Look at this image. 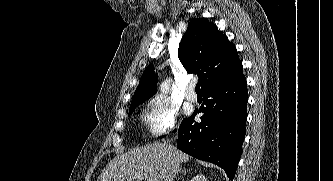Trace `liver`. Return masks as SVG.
<instances>
[{"label":"liver","mask_w":333,"mask_h":181,"mask_svg":"<svg viewBox=\"0 0 333 181\" xmlns=\"http://www.w3.org/2000/svg\"><path fill=\"white\" fill-rule=\"evenodd\" d=\"M190 156L166 143L147 144L114 157L97 181H173Z\"/></svg>","instance_id":"1"}]
</instances>
